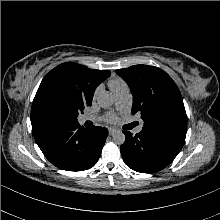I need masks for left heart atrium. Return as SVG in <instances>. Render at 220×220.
<instances>
[{
  "instance_id": "left-heart-atrium-1",
  "label": "left heart atrium",
  "mask_w": 220,
  "mask_h": 220,
  "mask_svg": "<svg viewBox=\"0 0 220 220\" xmlns=\"http://www.w3.org/2000/svg\"><path fill=\"white\" fill-rule=\"evenodd\" d=\"M106 119H107V121L112 122V121H114V120H115V116H114V115H112V114H109V115H107Z\"/></svg>"
}]
</instances>
